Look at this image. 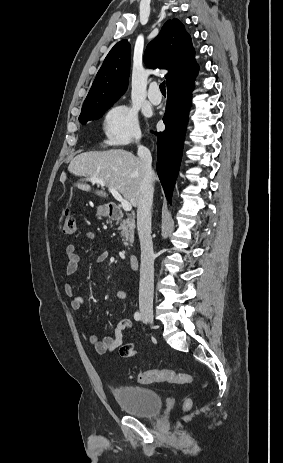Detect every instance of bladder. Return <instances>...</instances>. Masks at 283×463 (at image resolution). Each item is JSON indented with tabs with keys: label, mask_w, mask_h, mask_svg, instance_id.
I'll return each mask as SVG.
<instances>
[{
	"label": "bladder",
	"mask_w": 283,
	"mask_h": 463,
	"mask_svg": "<svg viewBox=\"0 0 283 463\" xmlns=\"http://www.w3.org/2000/svg\"><path fill=\"white\" fill-rule=\"evenodd\" d=\"M118 405L129 415L140 418L157 417L162 410L160 395L137 386H119L113 389Z\"/></svg>",
	"instance_id": "obj_1"
}]
</instances>
